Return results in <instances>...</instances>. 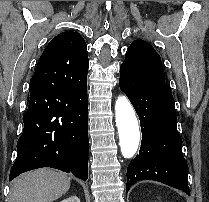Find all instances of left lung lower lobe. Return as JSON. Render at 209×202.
I'll return each instance as SVG.
<instances>
[{
  "mask_svg": "<svg viewBox=\"0 0 209 202\" xmlns=\"http://www.w3.org/2000/svg\"><path fill=\"white\" fill-rule=\"evenodd\" d=\"M119 86L139 115L142 130L139 155L127 168L126 192L140 180H155L190 195L188 165L169 86L125 66L120 67Z\"/></svg>",
  "mask_w": 209,
  "mask_h": 202,
  "instance_id": "0a47b994",
  "label": "left lung lower lobe"
}]
</instances>
